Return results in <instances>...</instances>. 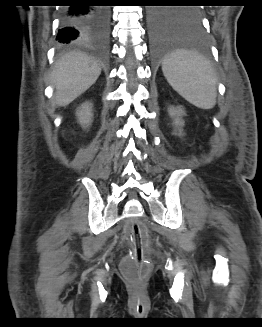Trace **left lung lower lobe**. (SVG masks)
I'll return each mask as SVG.
<instances>
[{
    "label": "left lung lower lobe",
    "mask_w": 262,
    "mask_h": 327,
    "mask_svg": "<svg viewBox=\"0 0 262 327\" xmlns=\"http://www.w3.org/2000/svg\"><path fill=\"white\" fill-rule=\"evenodd\" d=\"M183 11L161 7L150 11L148 26L155 55L178 50L198 54L208 50V38L201 21L188 18Z\"/></svg>",
    "instance_id": "obj_1"
}]
</instances>
